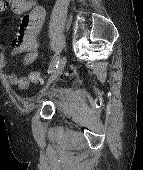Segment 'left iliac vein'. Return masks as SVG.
Segmentation results:
<instances>
[{"label": "left iliac vein", "instance_id": "obj_1", "mask_svg": "<svg viewBox=\"0 0 143 170\" xmlns=\"http://www.w3.org/2000/svg\"><path fill=\"white\" fill-rule=\"evenodd\" d=\"M66 63H67V57L66 56H63L59 63H58V66L57 68L55 69L52 77L50 78V80L48 81V85L51 84L53 81H55L59 76L60 74L62 73V71L64 70L65 66H66Z\"/></svg>", "mask_w": 143, "mask_h": 170}]
</instances>
